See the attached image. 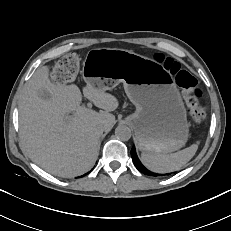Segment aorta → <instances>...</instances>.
I'll return each mask as SVG.
<instances>
[{
  "label": "aorta",
  "mask_w": 231,
  "mask_h": 231,
  "mask_svg": "<svg viewBox=\"0 0 231 231\" xmlns=\"http://www.w3.org/2000/svg\"><path fill=\"white\" fill-rule=\"evenodd\" d=\"M115 135L121 141H128L131 138V130L128 126L119 125L115 129Z\"/></svg>",
  "instance_id": "762f6f07"
}]
</instances>
